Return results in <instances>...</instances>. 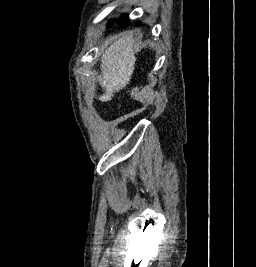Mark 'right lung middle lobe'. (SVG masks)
<instances>
[{
  "label": "right lung middle lobe",
  "mask_w": 256,
  "mask_h": 267,
  "mask_svg": "<svg viewBox=\"0 0 256 267\" xmlns=\"http://www.w3.org/2000/svg\"><path fill=\"white\" fill-rule=\"evenodd\" d=\"M128 19V16L126 14L122 15L121 18L119 19V23L124 22L125 20Z\"/></svg>",
  "instance_id": "dd1d6c3e"
}]
</instances>
